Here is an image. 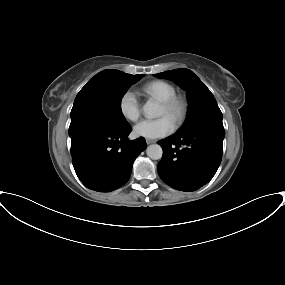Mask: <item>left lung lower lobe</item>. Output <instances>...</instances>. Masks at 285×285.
Segmentation results:
<instances>
[{
	"mask_svg": "<svg viewBox=\"0 0 285 285\" xmlns=\"http://www.w3.org/2000/svg\"><path fill=\"white\" fill-rule=\"evenodd\" d=\"M224 136L223 127L203 125L159 141L163 149L157 167L160 178L177 190L199 189L213 178L220 165Z\"/></svg>",
	"mask_w": 285,
	"mask_h": 285,
	"instance_id": "1",
	"label": "left lung lower lobe"
}]
</instances>
